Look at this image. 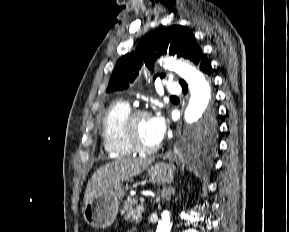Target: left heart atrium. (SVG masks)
Returning <instances> with one entry per match:
<instances>
[{"instance_id": "left-heart-atrium-1", "label": "left heart atrium", "mask_w": 289, "mask_h": 232, "mask_svg": "<svg viewBox=\"0 0 289 232\" xmlns=\"http://www.w3.org/2000/svg\"><path fill=\"white\" fill-rule=\"evenodd\" d=\"M151 129L155 142L158 144L164 137L166 124L164 118L157 114L151 117Z\"/></svg>"}]
</instances>
